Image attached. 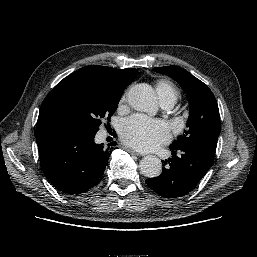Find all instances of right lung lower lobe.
<instances>
[{
  "instance_id": "1",
  "label": "right lung lower lobe",
  "mask_w": 257,
  "mask_h": 257,
  "mask_svg": "<svg viewBox=\"0 0 257 257\" xmlns=\"http://www.w3.org/2000/svg\"><path fill=\"white\" fill-rule=\"evenodd\" d=\"M94 137V133L64 130L37 143L41 168L58 190L85 193L103 179L113 148L97 145Z\"/></svg>"
}]
</instances>
